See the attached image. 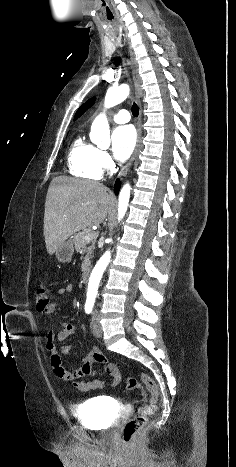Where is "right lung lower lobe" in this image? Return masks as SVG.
Here are the masks:
<instances>
[{"instance_id": "right-lung-lower-lobe-1", "label": "right lung lower lobe", "mask_w": 236, "mask_h": 467, "mask_svg": "<svg viewBox=\"0 0 236 467\" xmlns=\"http://www.w3.org/2000/svg\"><path fill=\"white\" fill-rule=\"evenodd\" d=\"M119 186H120V184H119V182L117 181L116 184H115V188H114L116 194H118Z\"/></svg>"}]
</instances>
